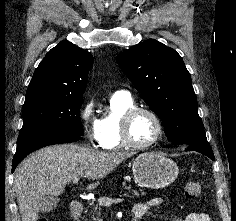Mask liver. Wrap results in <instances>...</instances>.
<instances>
[{
	"instance_id": "obj_1",
	"label": "liver",
	"mask_w": 236,
	"mask_h": 221,
	"mask_svg": "<svg viewBox=\"0 0 236 221\" xmlns=\"http://www.w3.org/2000/svg\"><path fill=\"white\" fill-rule=\"evenodd\" d=\"M131 152H105L76 144H62L42 148L17 167L14 186L22 221H37L40 200L45 195L59 196L75 178L96 181L88 189L98 186L104 178Z\"/></svg>"
}]
</instances>
